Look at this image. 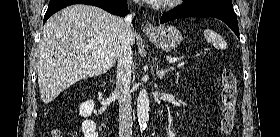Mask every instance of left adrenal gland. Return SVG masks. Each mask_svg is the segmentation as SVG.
<instances>
[{
  "instance_id": "obj_1",
  "label": "left adrenal gland",
  "mask_w": 280,
  "mask_h": 137,
  "mask_svg": "<svg viewBox=\"0 0 280 137\" xmlns=\"http://www.w3.org/2000/svg\"><path fill=\"white\" fill-rule=\"evenodd\" d=\"M174 70V67H167L165 69H161L158 65H157V68H156V73H157V77L159 79H163V77L169 72V71H172Z\"/></svg>"
}]
</instances>
